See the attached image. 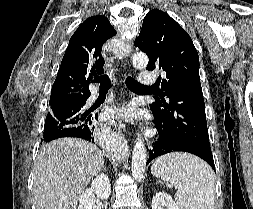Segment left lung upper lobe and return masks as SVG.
Listing matches in <instances>:
<instances>
[{
    "mask_svg": "<svg viewBox=\"0 0 253 209\" xmlns=\"http://www.w3.org/2000/svg\"><path fill=\"white\" fill-rule=\"evenodd\" d=\"M134 45L148 55L147 70H161V90L150 109L163 134L211 149L199 56L188 33L168 14L154 9L144 17Z\"/></svg>",
    "mask_w": 253,
    "mask_h": 209,
    "instance_id": "5c2ea615",
    "label": "left lung upper lobe"
}]
</instances>
